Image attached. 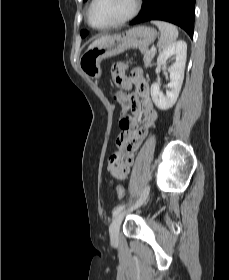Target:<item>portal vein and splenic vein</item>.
<instances>
[{
  "label": "portal vein and splenic vein",
  "mask_w": 229,
  "mask_h": 280,
  "mask_svg": "<svg viewBox=\"0 0 229 280\" xmlns=\"http://www.w3.org/2000/svg\"><path fill=\"white\" fill-rule=\"evenodd\" d=\"M150 51L151 52H156V48L155 47H151Z\"/></svg>",
  "instance_id": "1"
}]
</instances>
